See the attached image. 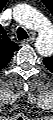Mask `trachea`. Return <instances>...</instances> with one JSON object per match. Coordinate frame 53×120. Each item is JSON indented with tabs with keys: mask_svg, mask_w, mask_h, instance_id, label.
Returning a JSON list of instances; mask_svg holds the SVG:
<instances>
[{
	"mask_svg": "<svg viewBox=\"0 0 53 120\" xmlns=\"http://www.w3.org/2000/svg\"><path fill=\"white\" fill-rule=\"evenodd\" d=\"M17 38H18V40H24V39L29 38V36H28L27 32L22 27H19L17 29Z\"/></svg>",
	"mask_w": 53,
	"mask_h": 120,
	"instance_id": "1",
	"label": "trachea"
}]
</instances>
